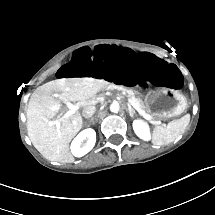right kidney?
Here are the masks:
<instances>
[{"label":"right kidney","instance_id":"right-kidney-1","mask_svg":"<svg viewBox=\"0 0 215 215\" xmlns=\"http://www.w3.org/2000/svg\"><path fill=\"white\" fill-rule=\"evenodd\" d=\"M88 138L84 147H81V141ZM96 142V132L92 128L82 130L71 142L70 152L75 157H82L94 147Z\"/></svg>","mask_w":215,"mask_h":215}]
</instances>
